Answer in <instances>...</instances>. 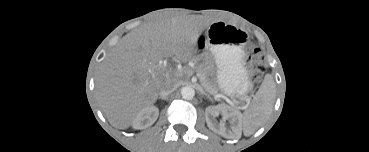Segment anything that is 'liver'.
I'll return each mask as SVG.
<instances>
[{"label": "liver", "instance_id": "1", "mask_svg": "<svg viewBox=\"0 0 369 152\" xmlns=\"http://www.w3.org/2000/svg\"><path fill=\"white\" fill-rule=\"evenodd\" d=\"M203 28L199 22L173 17L143 25L119 41L96 79L98 102L113 127L127 129L141 110L156 102L170 79L159 62L169 56L188 61ZM177 76L180 72L172 80Z\"/></svg>", "mask_w": 369, "mask_h": 152}]
</instances>
